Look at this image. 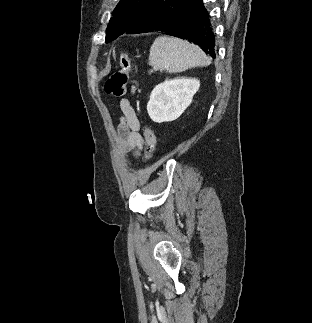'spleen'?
I'll list each match as a JSON object with an SVG mask.
<instances>
[{"label":"spleen","mask_w":312,"mask_h":323,"mask_svg":"<svg viewBox=\"0 0 312 323\" xmlns=\"http://www.w3.org/2000/svg\"><path fill=\"white\" fill-rule=\"evenodd\" d=\"M211 60L202 52L199 46L189 44L187 40L173 38V36H158L154 40L149 54V66L153 70H167V72H185L196 66H209Z\"/></svg>","instance_id":"1"}]
</instances>
